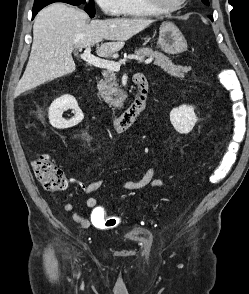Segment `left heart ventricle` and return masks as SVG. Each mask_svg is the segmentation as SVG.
Listing matches in <instances>:
<instances>
[{
	"label": "left heart ventricle",
	"instance_id": "left-heart-ventricle-1",
	"mask_svg": "<svg viewBox=\"0 0 249 294\" xmlns=\"http://www.w3.org/2000/svg\"><path fill=\"white\" fill-rule=\"evenodd\" d=\"M161 6L172 7L182 2V0H157Z\"/></svg>",
	"mask_w": 249,
	"mask_h": 294
}]
</instances>
